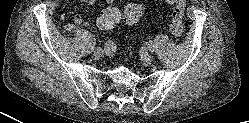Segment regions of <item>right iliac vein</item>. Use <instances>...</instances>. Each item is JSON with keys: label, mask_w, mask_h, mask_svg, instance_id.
<instances>
[{"label": "right iliac vein", "mask_w": 249, "mask_h": 123, "mask_svg": "<svg viewBox=\"0 0 249 123\" xmlns=\"http://www.w3.org/2000/svg\"><path fill=\"white\" fill-rule=\"evenodd\" d=\"M102 55H103V49L100 48V47H97V48L94 50V56H95L96 58H100Z\"/></svg>", "instance_id": "obj_1"}]
</instances>
